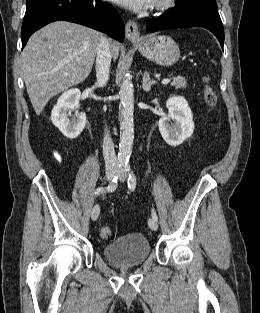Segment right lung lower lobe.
<instances>
[{"label":"right lung lower lobe","instance_id":"obj_1","mask_svg":"<svg viewBox=\"0 0 260 313\" xmlns=\"http://www.w3.org/2000/svg\"><path fill=\"white\" fill-rule=\"evenodd\" d=\"M66 20L99 30L123 41L125 28L117 10L99 0H27L21 38L22 48L29 37L50 22Z\"/></svg>","mask_w":260,"mask_h":313}]
</instances>
